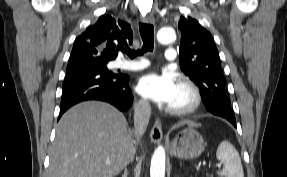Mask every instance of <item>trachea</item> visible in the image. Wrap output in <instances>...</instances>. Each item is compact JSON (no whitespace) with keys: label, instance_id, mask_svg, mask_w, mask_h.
Returning <instances> with one entry per match:
<instances>
[{"label":"trachea","instance_id":"trachea-1","mask_svg":"<svg viewBox=\"0 0 287 177\" xmlns=\"http://www.w3.org/2000/svg\"><path fill=\"white\" fill-rule=\"evenodd\" d=\"M140 35L143 41L141 50H131L128 46L123 49L131 59L138 55H143L145 52L153 51L154 48V27L151 24L139 23Z\"/></svg>","mask_w":287,"mask_h":177}]
</instances>
